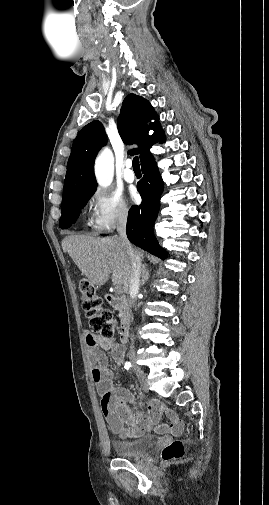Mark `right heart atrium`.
I'll return each mask as SVG.
<instances>
[{
    "mask_svg": "<svg viewBox=\"0 0 269 505\" xmlns=\"http://www.w3.org/2000/svg\"><path fill=\"white\" fill-rule=\"evenodd\" d=\"M90 223L98 231L107 232L125 222L129 208L120 194L109 189H96L90 197Z\"/></svg>",
    "mask_w": 269,
    "mask_h": 505,
    "instance_id": "obj_1",
    "label": "right heart atrium"
}]
</instances>
